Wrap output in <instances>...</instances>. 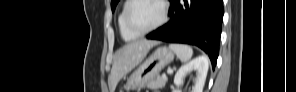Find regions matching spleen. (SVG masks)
Instances as JSON below:
<instances>
[{
	"instance_id": "spleen-1",
	"label": "spleen",
	"mask_w": 296,
	"mask_h": 92,
	"mask_svg": "<svg viewBox=\"0 0 296 92\" xmlns=\"http://www.w3.org/2000/svg\"><path fill=\"white\" fill-rule=\"evenodd\" d=\"M171 49L182 62H187L193 55V50L190 46L184 44H170Z\"/></svg>"
}]
</instances>
